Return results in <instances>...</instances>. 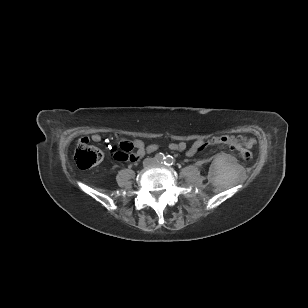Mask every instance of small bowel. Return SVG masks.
Instances as JSON below:
<instances>
[{
  "instance_id": "small-bowel-1",
  "label": "small bowel",
  "mask_w": 308,
  "mask_h": 308,
  "mask_svg": "<svg viewBox=\"0 0 308 308\" xmlns=\"http://www.w3.org/2000/svg\"><path fill=\"white\" fill-rule=\"evenodd\" d=\"M90 141L88 137H83ZM91 140L95 143H99L101 141V136L99 134H93L91 136ZM248 141L252 142L254 144L253 139H249ZM205 141L198 139L192 142V144L188 147L187 143L185 141H177L172 142L169 145V148L173 151H179L183 152L185 151L187 156H193L195 155L199 150H201V147L203 146ZM121 143L129 144L132 149L135 148L136 152L133 154L132 162H136L141 157H143L146 153H150L155 151L158 146L156 144H151L149 146H145L144 142L140 139H135L132 142L129 141H123Z\"/></svg>"
}]
</instances>
